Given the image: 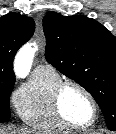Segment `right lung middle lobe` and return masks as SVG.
Here are the masks:
<instances>
[{
  "label": "right lung middle lobe",
  "instance_id": "obj_1",
  "mask_svg": "<svg viewBox=\"0 0 116 134\" xmlns=\"http://www.w3.org/2000/svg\"><path fill=\"white\" fill-rule=\"evenodd\" d=\"M15 82H0V120H8L10 114V94Z\"/></svg>",
  "mask_w": 116,
  "mask_h": 134
}]
</instances>
